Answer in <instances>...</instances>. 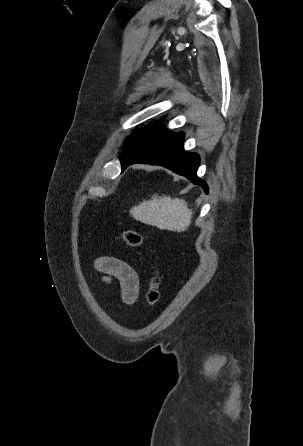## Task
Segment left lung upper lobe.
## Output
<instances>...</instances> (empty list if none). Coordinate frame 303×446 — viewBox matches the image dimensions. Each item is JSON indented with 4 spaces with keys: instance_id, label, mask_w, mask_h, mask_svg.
Masks as SVG:
<instances>
[{
    "instance_id": "obj_1",
    "label": "left lung upper lobe",
    "mask_w": 303,
    "mask_h": 446,
    "mask_svg": "<svg viewBox=\"0 0 303 446\" xmlns=\"http://www.w3.org/2000/svg\"><path fill=\"white\" fill-rule=\"evenodd\" d=\"M160 121L158 120L133 133L124 149L123 158H120L121 164L131 157L139 155L158 141L174 134V132L165 130Z\"/></svg>"
}]
</instances>
